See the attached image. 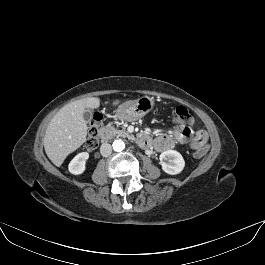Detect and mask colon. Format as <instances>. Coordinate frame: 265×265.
Masks as SVG:
<instances>
[{
  "mask_svg": "<svg viewBox=\"0 0 265 265\" xmlns=\"http://www.w3.org/2000/svg\"><path fill=\"white\" fill-rule=\"evenodd\" d=\"M174 118L180 123L189 125L193 122V117L190 112L184 106H178L173 110ZM102 122V116L100 113H95L90 122L89 134L86 141V148L89 151L94 150L98 146V128ZM204 154V151H196L194 156L199 158Z\"/></svg>",
  "mask_w": 265,
  "mask_h": 265,
  "instance_id": "obj_1",
  "label": "colon"
}]
</instances>
